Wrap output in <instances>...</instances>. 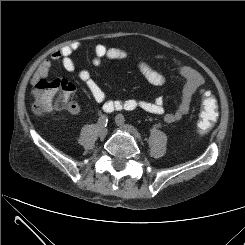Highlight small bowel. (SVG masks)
Listing matches in <instances>:
<instances>
[{
	"instance_id": "small-bowel-1",
	"label": "small bowel",
	"mask_w": 245,
	"mask_h": 245,
	"mask_svg": "<svg viewBox=\"0 0 245 245\" xmlns=\"http://www.w3.org/2000/svg\"><path fill=\"white\" fill-rule=\"evenodd\" d=\"M78 49L79 44L77 43L67 44L61 49L54 51L51 54V59L54 61H61L62 67L66 72L76 73L78 78L85 84L92 98L96 102L101 103L103 105V110L108 113L123 109H141L154 115L163 116L165 122L167 123H176L179 122L183 116L188 113L194 94L204 83L202 75L195 69L183 64L177 59L169 60L164 56H159L160 60L169 62L173 69L183 79L181 87V102L176 110L167 111L164 105V101L160 97L153 100L137 98L125 100H108L104 90L92 78L91 73L86 69H77L71 56ZM130 57L131 56L129 53L124 49L118 47H108L100 43L95 46V56L92 62L95 66H100L105 58L110 60H123ZM135 61L139 72L151 85L161 86L165 83V76L158 72L148 62L139 59H136ZM51 68V60H44L35 72L32 82L36 83L40 79L46 78ZM69 110L71 113L77 114L80 111V107L77 103L72 102Z\"/></svg>"
}]
</instances>
